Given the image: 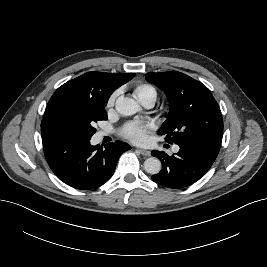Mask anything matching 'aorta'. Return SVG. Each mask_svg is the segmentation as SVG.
Segmentation results:
<instances>
[{
  "instance_id": "762f6f07",
  "label": "aorta",
  "mask_w": 267,
  "mask_h": 267,
  "mask_svg": "<svg viewBox=\"0 0 267 267\" xmlns=\"http://www.w3.org/2000/svg\"><path fill=\"white\" fill-rule=\"evenodd\" d=\"M115 108L118 113L124 116L133 115L140 110V106L134 99L123 96L118 97ZM161 168V162L156 157L147 158L144 162V170L151 175L158 174Z\"/></svg>"
}]
</instances>
